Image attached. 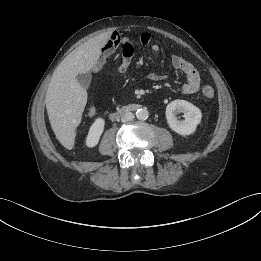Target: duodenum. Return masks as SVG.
<instances>
[{
  "label": "duodenum",
  "mask_w": 261,
  "mask_h": 261,
  "mask_svg": "<svg viewBox=\"0 0 261 261\" xmlns=\"http://www.w3.org/2000/svg\"><path fill=\"white\" fill-rule=\"evenodd\" d=\"M139 108H140V105H137V104H131V105L124 106V107L120 108L119 110L113 112L112 113V118L113 119H117L121 115H123V114H125L127 112L136 111Z\"/></svg>",
  "instance_id": "duodenum-1"
}]
</instances>
